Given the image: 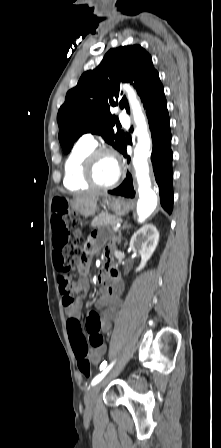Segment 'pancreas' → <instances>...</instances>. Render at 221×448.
Instances as JSON below:
<instances>
[{
  "label": "pancreas",
  "mask_w": 221,
  "mask_h": 448,
  "mask_svg": "<svg viewBox=\"0 0 221 448\" xmlns=\"http://www.w3.org/2000/svg\"><path fill=\"white\" fill-rule=\"evenodd\" d=\"M120 222H122V219L120 217L106 213H101L94 218L91 225L93 227H108V226L114 227L117 223Z\"/></svg>",
  "instance_id": "pancreas-1"
}]
</instances>
